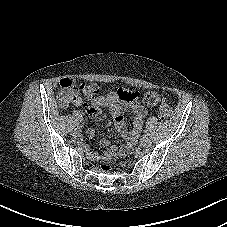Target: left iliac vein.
<instances>
[{
	"mask_svg": "<svg viewBox=\"0 0 227 227\" xmlns=\"http://www.w3.org/2000/svg\"><path fill=\"white\" fill-rule=\"evenodd\" d=\"M151 144H152V141L149 137H143L141 142H140V145L143 148H147V147L151 146Z\"/></svg>",
	"mask_w": 227,
	"mask_h": 227,
	"instance_id": "obj_1",
	"label": "left iliac vein"
}]
</instances>
